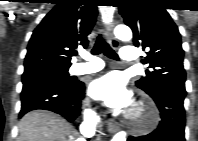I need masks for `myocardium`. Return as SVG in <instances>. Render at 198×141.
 <instances>
[{"instance_id":"f54148a6","label":"myocardium","mask_w":198,"mask_h":141,"mask_svg":"<svg viewBox=\"0 0 198 141\" xmlns=\"http://www.w3.org/2000/svg\"><path fill=\"white\" fill-rule=\"evenodd\" d=\"M146 119V120H144ZM157 122V111L147 101H141L129 116V123L132 128L145 130L152 128Z\"/></svg>"}]
</instances>
